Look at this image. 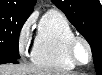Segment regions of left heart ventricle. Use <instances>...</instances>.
I'll return each instance as SVG.
<instances>
[{
	"mask_svg": "<svg viewBox=\"0 0 102 75\" xmlns=\"http://www.w3.org/2000/svg\"><path fill=\"white\" fill-rule=\"evenodd\" d=\"M78 55L81 60H84L86 58V53L83 46L78 47Z\"/></svg>",
	"mask_w": 102,
	"mask_h": 75,
	"instance_id": "obj_1",
	"label": "left heart ventricle"
}]
</instances>
